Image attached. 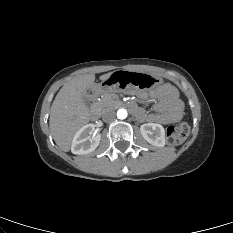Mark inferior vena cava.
Here are the masks:
<instances>
[{
  "label": "inferior vena cava",
  "mask_w": 233,
  "mask_h": 233,
  "mask_svg": "<svg viewBox=\"0 0 233 233\" xmlns=\"http://www.w3.org/2000/svg\"><path fill=\"white\" fill-rule=\"evenodd\" d=\"M115 112L112 111V110H107L105 111L103 114H102V119L105 121V122H112L115 120Z\"/></svg>",
  "instance_id": "1"
}]
</instances>
